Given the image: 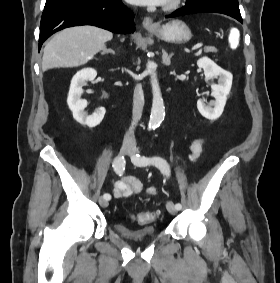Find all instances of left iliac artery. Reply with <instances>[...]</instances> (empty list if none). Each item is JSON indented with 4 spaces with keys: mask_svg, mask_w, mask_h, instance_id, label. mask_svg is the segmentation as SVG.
Instances as JSON below:
<instances>
[{
    "mask_svg": "<svg viewBox=\"0 0 280 283\" xmlns=\"http://www.w3.org/2000/svg\"><path fill=\"white\" fill-rule=\"evenodd\" d=\"M134 161L137 165L139 166H147V165H155L157 168H159L166 176L170 175V167L169 164L166 162V160H164L161 157H152V158H148L145 156H140L139 154L136 155V157L134 158ZM175 207L180 210L181 209V204L177 203L175 205Z\"/></svg>",
    "mask_w": 280,
    "mask_h": 283,
    "instance_id": "obj_1",
    "label": "left iliac artery"
}]
</instances>
